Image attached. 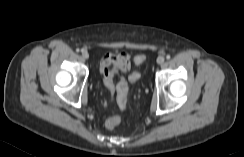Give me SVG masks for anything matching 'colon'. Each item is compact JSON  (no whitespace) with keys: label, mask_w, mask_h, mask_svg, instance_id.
Wrapping results in <instances>:
<instances>
[{"label":"colon","mask_w":244,"mask_h":157,"mask_svg":"<svg viewBox=\"0 0 244 157\" xmlns=\"http://www.w3.org/2000/svg\"><path fill=\"white\" fill-rule=\"evenodd\" d=\"M146 60V55L139 54L134 57V63L135 65H140ZM120 70L116 66H107L103 70L104 75V84L107 87V89L110 92H114L116 89L117 91V97H118V103L121 106H125L126 99H127V93H128V82L127 80L120 76L117 84L114 83V78L117 74H119ZM140 73L138 71H133L129 77L130 81L135 83L139 80ZM121 120L118 116L110 117L106 120L105 125L108 129H114L120 124Z\"/></svg>","instance_id":"obj_1"}]
</instances>
